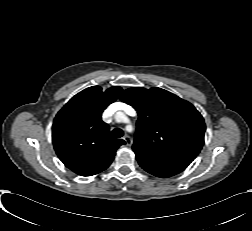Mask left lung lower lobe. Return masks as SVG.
<instances>
[{
  "mask_svg": "<svg viewBox=\"0 0 252 231\" xmlns=\"http://www.w3.org/2000/svg\"><path fill=\"white\" fill-rule=\"evenodd\" d=\"M140 166L150 174L167 178L185 170L191 161L174 157H150L136 154Z\"/></svg>",
  "mask_w": 252,
  "mask_h": 231,
  "instance_id": "0a47b994",
  "label": "left lung lower lobe"
}]
</instances>
